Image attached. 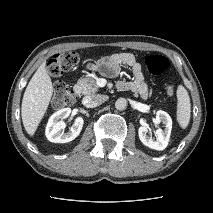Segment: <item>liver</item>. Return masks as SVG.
Masks as SVG:
<instances>
[{
	"label": "liver",
	"mask_w": 213,
	"mask_h": 213,
	"mask_svg": "<svg viewBox=\"0 0 213 213\" xmlns=\"http://www.w3.org/2000/svg\"><path fill=\"white\" fill-rule=\"evenodd\" d=\"M53 94V85L43 62L28 83L21 107L26 132L33 136L41 122Z\"/></svg>",
	"instance_id": "liver-1"
}]
</instances>
